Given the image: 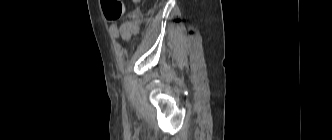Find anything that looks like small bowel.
Segmentation results:
<instances>
[{
  "label": "small bowel",
  "mask_w": 332,
  "mask_h": 140,
  "mask_svg": "<svg viewBox=\"0 0 332 140\" xmlns=\"http://www.w3.org/2000/svg\"><path fill=\"white\" fill-rule=\"evenodd\" d=\"M134 3H138L141 0H132ZM138 12L132 11L127 15V18L118 23L111 25V35L113 39L117 40L122 38L125 42H129L139 31L138 24Z\"/></svg>",
  "instance_id": "obj_1"
}]
</instances>
